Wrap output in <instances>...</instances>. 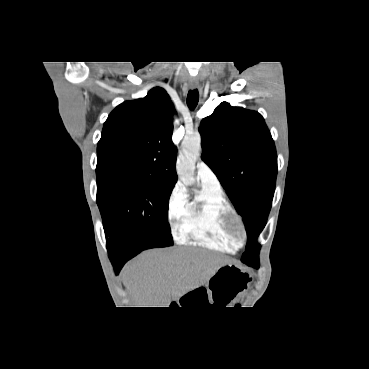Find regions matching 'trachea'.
<instances>
[{"label":"trachea","instance_id":"1","mask_svg":"<svg viewBox=\"0 0 369 369\" xmlns=\"http://www.w3.org/2000/svg\"><path fill=\"white\" fill-rule=\"evenodd\" d=\"M199 101V92L197 89L190 90L187 95V105L189 109L194 110Z\"/></svg>","mask_w":369,"mask_h":369}]
</instances>
